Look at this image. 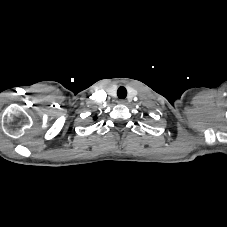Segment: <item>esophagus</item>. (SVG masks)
Returning a JSON list of instances; mask_svg holds the SVG:
<instances>
[{
    "label": "esophagus",
    "instance_id": "obj_1",
    "mask_svg": "<svg viewBox=\"0 0 227 227\" xmlns=\"http://www.w3.org/2000/svg\"><path fill=\"white\" fill-rule=\"evenodd\" d=\"M118 103L124 105V104H126V100L120 99V100L118 101Z\"/></svg>",
    "mask_w": 227,
    "mask_h": 227
}]
</instances>
